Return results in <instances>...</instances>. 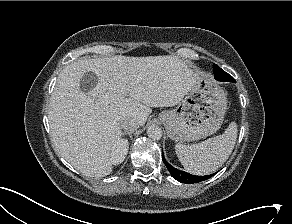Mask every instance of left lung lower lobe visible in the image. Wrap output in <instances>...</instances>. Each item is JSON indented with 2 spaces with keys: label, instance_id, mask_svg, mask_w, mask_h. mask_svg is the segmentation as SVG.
<instances>
[{
  "label": "left lung lower lobe",
  "instance_id": "obj_1",
  "mask_svg": "<svg viewBox=\"0 0 292 224\" xmlns=\"http://www.w3.org/2000/svg\"><path fill=\"white\" fill-rule=\"evenodd\" d=\"M221 74H215V79L216 80H220V81H234V78L232 76H230L228 73H226L225 71L221 70V72H218ZM162 159L164 164L166 165V167L168 168L169 172L171 173L172 177L174 179H176L177 181H180L182 183H198L204 180L209 179L210 177H212L214 174L211 175H207V176H195V175H191L187 172L178 170L174 167H172L171 165L168 164V162L164 159L163 157V152H162Z\"/></svg>",
  "mask_w": 292,
  "mask_h": 224
}]
</instances>
